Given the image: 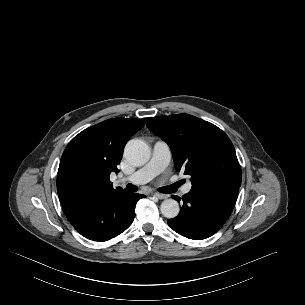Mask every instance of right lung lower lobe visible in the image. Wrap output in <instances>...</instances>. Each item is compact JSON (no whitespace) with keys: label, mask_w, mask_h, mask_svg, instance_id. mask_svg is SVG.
<instances>
[{"label":"right lung lower lobe","mask_w":305,"mask_h":305,"mask_svg":"<svg viewBox=\"0 0 305 305\" xmlns=\"http://www.w3.org/2000/svg\"><path fill=\"white\" fill-rule=\"evenodd\" d=\"M145 198L137 193L118 191L90 198L63 211L73 227L84 237L103 242L125 231L135 217L136 203Z\"/></svg>","instance_id":"1"}]
</instances>
